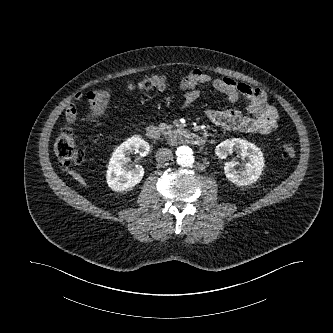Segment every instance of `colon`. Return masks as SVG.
I'll return each instance as SVG.
<instances>
[{
	"label": "colon",
	"mask_w": 333,
	"mask_h": 333,
	"mask_svg": "<svg viewBox=\"0 0 333 333\" xmlns=\"http://www.w3.org/2000/svg\"><path fill=\"white\" fill-rule=\"evenodd\" d=\"M167 87V79L160 75L146 76L131 86L132 89L139 90L165 89ZM107 98L108 93L106 91L98 90L87 93L86 99L90 109V117H96L103 113ZM53 153L64 171L70 170L84 160V153L77 148L69 127L62 128L56 136L53 143ZM282 156L284 158H294L296 156V148L291 144H285L282 149Z\"/></svg>",
	"instance_id": "obj_1"
}]
</instances>
